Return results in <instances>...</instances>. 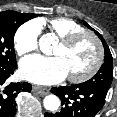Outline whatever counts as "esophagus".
<instances>
[{
  "label": "esophagus",
  "instance_id": "obj_1",
  "mask_svg": "<svg viewBox=\"0 0 117 117\" xmlns=\"http://www.w3.org/2000/svg\"><path fill=\"white\" fill-rule=\"evenodd\" d=\"M33 91L40 96H44L49 93V90L47 88L41 86H33Z\"/></svg>",
  "mask_w": 117,
  "mask_h": 117
}]
</instances>
